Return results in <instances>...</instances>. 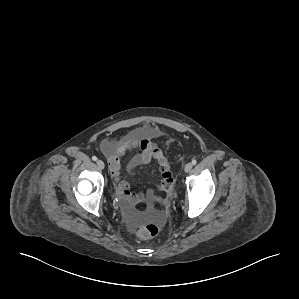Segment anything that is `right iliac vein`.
Returning a JSON list of instances; mask_svg holds the SVG:
<instances>
[{"label": "right iliac vein", "instance_id": "obj_1", "mask_svg": "<svg viewBox=\"0 0 299 299\" xmlns=\"http://www.w3.org/2000/svg\"><path fill=\"white\" fill-rule=\"evenodd\" d=\"M96 164L99 169H104L105 167L104 162L102 160H97Z\"/></svg>", "mask_w": 299, "mask_h": 299}]
</instances>
